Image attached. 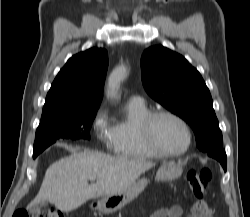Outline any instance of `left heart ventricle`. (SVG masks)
<instances>
[{"label": "left heart ventricle", "mask_w": 250, "mask_h": 217, "mask_svg": "<svg viewBox=\"0 0 250 217\" xmlns=\"http://www.w3.org/2000/svg\"><path fill=\"white\" fill-rule=\"evenodd\" d=\"M155 139L159 146L168 152H176L187 145V134L184 128L168 117L157 119L154 126Z\"/></svg>", "instance_id": "1"}]
</instances>
